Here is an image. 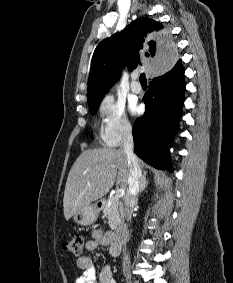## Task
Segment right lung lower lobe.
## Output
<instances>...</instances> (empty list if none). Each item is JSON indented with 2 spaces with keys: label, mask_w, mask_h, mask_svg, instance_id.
Returning a JSON list of instances; mask_svg holds the SVG:
<instances>
[{
  "label": "right lung lower lobe",
  "mask_w": 233,
  "mask_h": 283,
  "mask_svg": "<svg viewBox=\"0 0 233 283\" xmlns=\"http://www.w3.org/2000/svg\"><path fill=\"white\" fill-rule=\"evenodd\" d=\"M184 91V69L179 60L171 70L153 78L143 97L145 114L133 127L134 151L155 168L172 171L167 157L178 130Z\"/></svg>",
  "instance_id": "98d812e1"
}]
</instances>
